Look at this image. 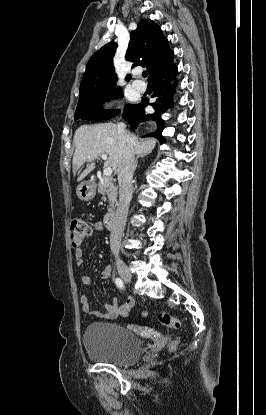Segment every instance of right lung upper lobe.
Wrapping results in <instances>:
<instances>
[{"instance_id":"obj_1","label":"right lung upper lobe","mask_w":266,"mask_h":415,"mask_svg":"<svg viewBox=\"0 0 266 415\" xmlns=\"http://www.w3.org/2000/svg\"><path fill=\"white\" fill-rule=\"evenodd\" d=\"M116 47V43L110 42L90 58L80 85L79 97L114 88L113 81H116L117 77L112 60ZM126 57L138 58L133 66L147 67L149 77L153 78L173 65L174 53L170 50L168 40L160 27L152 20L142 19L130 35ZM126 79H131V76L128 75Z\"/></svg>"}]
</instances>
